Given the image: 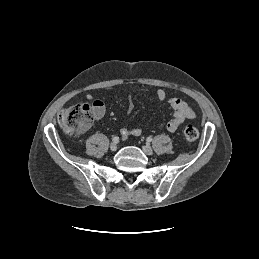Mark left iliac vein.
Masks as SVG:
<instances>
[{"mask_svg": "<svg viewBox=\"0 0 259 259\" xmlns=\"http://www.w3.org/2000/svg\"><path fill=\"white\" fill-rule=\"evenodd\" d=\"M142 150L147 155H152L153 154V149L149 145H143L142 146Z\"/></svg>", "mask_w": 259, "mask_h": 259, "instance_id": "4c4485c4", "label": "left iliac vein"}]
</instances>
